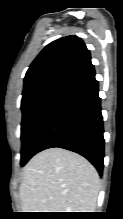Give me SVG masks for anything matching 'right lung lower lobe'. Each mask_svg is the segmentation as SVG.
<instances>
[{
    "label": "right lung lower lobe",
    "instance_id": "obj_1",
    "mask_svg": "<svg viewBox=\"0 0 123 219\" xmlns=\"http://www.w3.org/2000/svg\"><path fill=\"white\" fill-rule=\"evenodd\" d=\"M98 92L94 67L72 78L45 119L32 156L44 149L64 148L84 156L102 175L104 130Z\"/></svg>",
    "mask_w": 123,
    "mask_h": 219
}]
</instances>
